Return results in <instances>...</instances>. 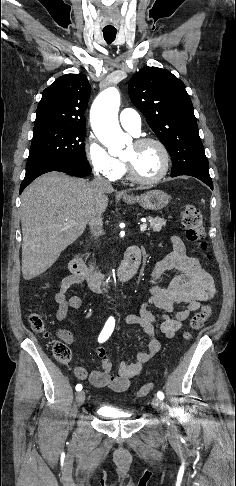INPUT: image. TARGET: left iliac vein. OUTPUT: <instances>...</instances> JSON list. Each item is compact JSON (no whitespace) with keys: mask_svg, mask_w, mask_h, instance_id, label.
Masks as SVG:
<instances>
[{"mask_svg":"<svg viewBox=\"0 0 236 486\" xmlns=\"http://www.w3.org/2000/svg\"><path fill=\"white\" fill-rule=\"evenodd\" d=\"M152 406H153L155 409H157V410H159V411H161V412H164V411L166 410L164 403H163V402H162V401H161L159 398H153V399H152ZM164 421H165V422H168L167 417L164 419ZM168 430H169L170 432H172V431H173V426L168 427Z\"/></svg>","mask_w":236,"mask_h":486,"instance_id":"4c4485c4","label":"left iliac vein"}]
</instances>
